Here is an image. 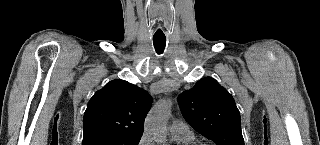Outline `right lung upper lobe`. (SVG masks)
Instances as JSON below:
<instances>
[{
    "mask_svg": "<svg viewBox=\"0 0 320 145\" xmlns=\"http://www.w3.org/2000/svg\"><path fill=\"white\" fill-rule=\"evenodd\" d=\"M152 97L124 80H112L90 99L84 114L83 142L98 137L142 136Z\"/></svg>",
    "mask_w": 320,
    "mask_h": 145,
    "instance_id": "obj_1",
    "label": "right lung upper lobe"
}]
</instances>
